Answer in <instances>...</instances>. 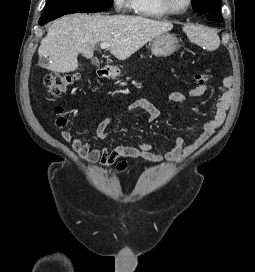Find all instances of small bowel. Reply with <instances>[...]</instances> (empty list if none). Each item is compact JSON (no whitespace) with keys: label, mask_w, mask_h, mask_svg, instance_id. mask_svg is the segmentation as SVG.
<instances>
[{"label":"small bowel","mask_w":255,"mask_h":272,"mask_svg":"<svg viewBox=\"0 0 255 272\" xmlns=\"http://www.w3.org/2000/svg\"><path fill=\"white\" fill-rule=\"evenodd\" d=\"M232 76L223 79L221 85L217 88V99L215 104L214 116L202 121V127L199 134L189 144L181 136L174 138L172 144L167 148L165 154L154 152V145L150 143H138L134 145H117L112 149L92 146L89 142H84L77 137H73L67 130L62 132L65 141L70 142L73 150L80 157L89 163H99L102 166L109 165L118 157L141 158L155 163L165 161H179L185 155L190 154L201 147L224 123L227 112L232 100ZM207 91L205 85H197L187 92H172L169 99L176 103H187L188 101L201 97ZM143 110L147 114V121L153 124L160 117V111L145 101H136L128 107V112ZM113 118L107 117L99 122L96 127L95 135L98 140H104L108 135V127L112 124Z\"/></svg>","instance_id":"obj_1"}]
</instances>
